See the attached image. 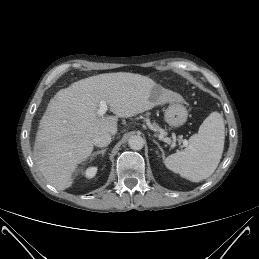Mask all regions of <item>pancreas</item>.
Returning a JSON list of instances; mask_svg holds the SVG:
<instances>
[{
  "instance_id": "pancreas-1",
  "label": "pancreas",
  "mask_w": 259,
  "mask_h": 259,
  "mask_svg": "<svg viewBox=\"0 0 259 259\" xmlns=\"http://www.w3.org/2000/svg\"><path fill=\"white\" fill-rule=\"evenodd\" d=\"M154 128H155L156 130H159V131L161 130V128H160L158 125H155V124H154Z\"/></svg>"
}]
</instances>
